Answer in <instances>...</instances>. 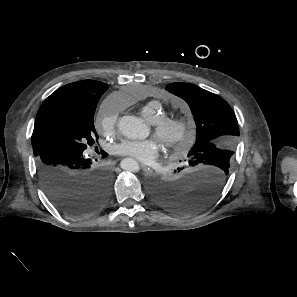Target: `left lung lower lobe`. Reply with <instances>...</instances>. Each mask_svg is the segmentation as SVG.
Listing matches in <instances>:
<instances>
[{
    "label": "left lung lower lobe",
    "instance_id": "1",
    "mask_svg": "<svg viewBox=\"0 0 297 297\" xmlns=\"http://www.w3.org/2000/svg\"><path fill=\"white\" fill-rule=\"evenodd\" d=\"M189 165L170 182L150 184L152 198L158 205L178 213H194L205 208L221 192L229 174L226 167L211 161L198 165L191 160Z\"/></svg>",
    "mask_w": 297,
    "mask_h": 297
}]
</instances>
